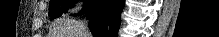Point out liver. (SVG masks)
<instances>
[{"label": "liver", "instance_id": "6515ba94", "mask_svg": "<svg viewBox=\"0 0 219 37\" xmlns=\"http://www.w3.org/2000/svg\"><path fill=\"white\" fill-rule=\"evenodd\" d=\"M81 26L82 23L76 20H56L50 37H91L89 32L86 33V36L80 34Z\"/></svg>", "mask_w": 219, "mask_h": 37}]
</instances>
